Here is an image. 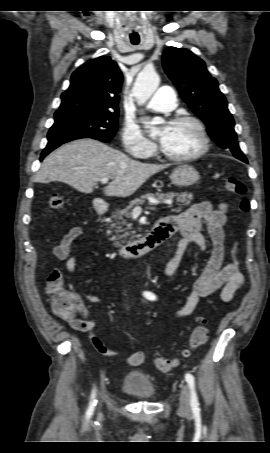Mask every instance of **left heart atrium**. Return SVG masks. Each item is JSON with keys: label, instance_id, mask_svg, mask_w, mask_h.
Instances as JSON below:
<instances>
[{"label": "left heart atrium", "instance_id": "left-heart-atrium-1", "mask_svg": "<svg viewBox=\"0 0 270 453\" xmlns=\"http://www.w3.org/2000/svg\"><path fill=\"white\" fill-rule=\"evenodd\" d=\"M167 132H168V129L165 128L163 129L160 133H159V140L160 142H162L164 140V138L166 137L167 135Z\"/></svg>", "mask_w": 270, "mask_h": 453}]
</instances>
